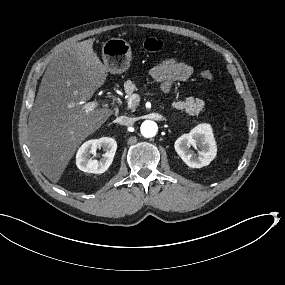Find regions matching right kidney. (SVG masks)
I'll return each instance as SVG.
<instances>
[{
    "mask_svg": "<svg viewBox=\"0 0 285 285\" xmlns=\"http://www.w3.org/2000/svg\"><path fill=\"white\" fill-rule=\"evenodd\" d=\"M105 152L99 161L92 160L96 156L97 149ZM117 150V143L111 137H101L84 143L76 155L77 167L87 173L102 174L108 170L112 164Z\"/></svg>",
    "mask_w": 285,
    "mask_h": 285,
    "instance_id": "right-kidney-1",
    "label": "right kidney"
}]
</instances>
